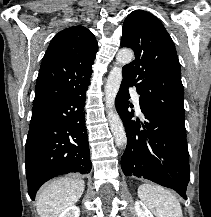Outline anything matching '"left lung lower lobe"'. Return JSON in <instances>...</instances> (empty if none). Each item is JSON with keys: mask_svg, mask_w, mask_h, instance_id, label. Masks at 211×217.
I'll list each match as a JSON object with an SVG mask.
<instances>
[{"mask_svg": "<svg viewBox=\"0 0 211 217\" xmlns=\"http://www.w3.org/2000/svg\"><path fill=\"white\" fill-rule=\"evenodd\" d=\"M129 86L122 80L115 100L127 135V146L121 157L123 173L174 189L186 200L190 169L185 125L156 114L140 103L146 119L142 125L144 130H140V123L131 120L134 111H130Z\"/></svg>", "mask_w": 211, "mask_h": 217, "instance_id": "left-lung-lower-lobe-1", "label": "left lung lower lobe"}]
</instances>
